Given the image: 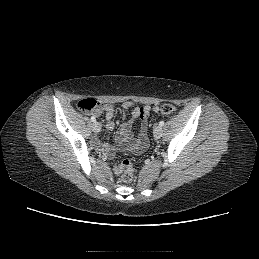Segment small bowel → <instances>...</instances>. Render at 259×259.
<instances>
[{"label": "small bowel", "instance_id": "1", "mask_svg": "<svg viewBox=\"0 0 259 259\" xmlns=\"http://www.w3.org/2000/svg\"><path fill=\"white\" fill-rule=\"evenodd\" d=\"M151 113L152 111L156 112L158 110L157 107H149L146 106ZM140 108L135 106L132 102L127 101L123 104V109L126 112H129L132 119H141L139 134L135 138L132 136V122L131 121H125L121 124L119 131L116 136V143L118 147L129 150L132 152H141L143 151L148 144V117H142L140 114ZM114 106L112 104H104L100 108L94 111L95 115H100L101 113H105L106 118V128L109 130L114 129L115 127V121H114ZM96 147L101 150L102 152L112 155L113 149L110 147L107 143H102L99 140H95Z\"/></svg>", "mask_w": 259, "mask_h": 259}]
</instances>
